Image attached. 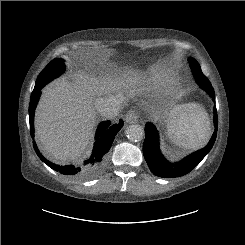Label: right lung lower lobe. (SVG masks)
Segmentation results:
<instances>
[{
  "label": "right lung lower lobe",
  "mask_w": 245,
  "mask_h": 245,
  "mask_svg": "<svg viewBox=\"0 0 245 245\" xmlns=\"http://www.w3.org/2000/svg\"><path fill=\"white\" fill-rule=\"evenodd\" d=\"M44 85L35 86L30 97L29 121H30V132L33 139H34V111L41 95V88ZM122 126H123V121H120L118 124H114V125H110L109 121L100 123L96 132V136H95L96 142L94 144L92 155L88 159H86L82 164L77 166L74 165L60 166V165L53 164L41 155L34 141H33V147L35 149V152L39 156V158L53 170L58 171L61 174L67 175L74 179L84 180V179L91 178L101 172V170L105 165L106 153L111 148L113 140L116 134L118 133V131L122 128Z\"/></svg>",
  "instance_id": "98d812e1"
}]
</instances>
